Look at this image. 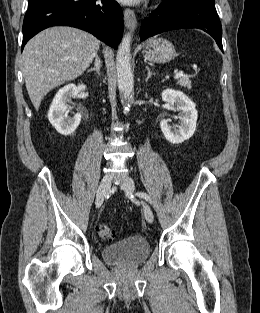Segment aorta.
I'll list each match as a JSON object with an SVG mask.
<instances>
[{
    "mask_svg": "<svg viewBox=\"0 0 260 313\" xmlns=\"http://www.w3.org/2000/svg\"><path fill=\"white\" fill-rule=\"evenodd\" d=\"M132 36L130 33H127L118 48L116 56V70H117V84L119 92L122 98L128 102L132 101L133 92H134V79L130 64V45H131ZM126 110H129L126 107Z\"/></svg>",
    "mask_w": 260,
    "mask_h": 313,
    "instance_id": "aorta-1",
    "label": "aorta"
}]
</instances>
